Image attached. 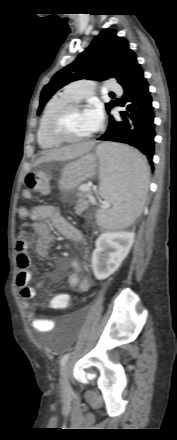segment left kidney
<instances>
[{"instance_id":"1","label":"left kidney","mask_w":177,"mask_h":440,"mask_svg":"<svg viewBox=\"0 0 177 440\" xmlns=\"http://www.w3.org/2000/svg\"><path fill=\"white\" fill-rule=\"evenodd\" d=\"M134 233L127 231L105 232L96 240L92 253V269L98 280L112 275L128 255Z\"/></svg>"}]
</instances>
